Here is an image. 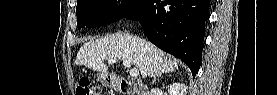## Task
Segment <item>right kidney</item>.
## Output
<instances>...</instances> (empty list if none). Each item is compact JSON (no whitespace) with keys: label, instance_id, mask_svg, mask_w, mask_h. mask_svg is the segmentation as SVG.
I'll return each mask as SVG.
<instances>
[{"label":"right kidney","instance_id":"1","mask_svg":"<svg viewBox=\"0 0 277 95\" xmlns=\"http://www.w3.org/2000/svg\"><path fill=\"white\" fill-rule=\"evenodd\" d=\"M170 95H183V88L180 84H173L169 89Z\"/></svg>","mask_w":277,"mask_h":95}]
</instances>
